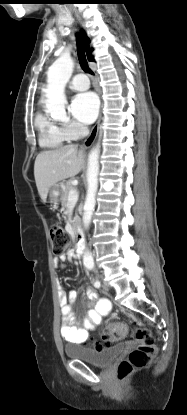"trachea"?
<instances>
[{
  "instance_id": "1",
  "label": "trachea",
  "mask_w": 187,
  "mask_h": 415,
  "mask_svg": "<svg viewBox=\"0 0 187 415\" xmlns=\"http://www.w3.org/2000/svg\"><path fill=\"white\" fill-rule=\"evenodd\" d=\"M77 50H78V59H79V63L81 65V68L90 74H93L92 70L90 69L86 56H85V52L83 50V47L81 45L80 40H78V46H77Z\"/></svg>"
}]
</instances>
